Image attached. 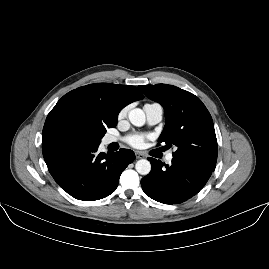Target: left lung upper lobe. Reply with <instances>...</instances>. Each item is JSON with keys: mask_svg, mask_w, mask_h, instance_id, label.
Here are the masks:
<instances>
[{"mask_svg": "<svg viewBox=\"0 0 269 269\" xmlns=\"http://www.w3.org/2000/svg\"><path fill=\"white\" fill-rule=\"evenodd\" d=\"M139 88L165 111V127L159 137L167 147L175 145L173 157L211 170L217 161L213 121L202 101L173 85H141Z\"/></svg>", "mask_w": 269, "mask_h": 269, "instance_id": "1", "label": "left lung upper lobe"}]
</instances>
